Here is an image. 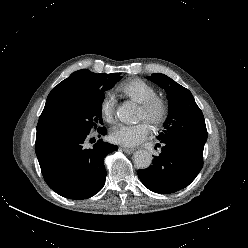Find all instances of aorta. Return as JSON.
<instances>
[{"instance_id": "aorta-1", "label": "aorta", "mask_w": 248, "mask_h": 248, "mask_svg": "<svg viewBox=\"0 0 248 248\" xmlns=\"http://www.w3.org/2000/svg\"><path fill=\"white\" fill-rule=\"evenodd\" d=\"M117 118L124 123H134L136 117V106L130 102L121 104L116 112ZM152 154L147 150H138L134 153V164L139 169H146L152 163Z\"/></svg>"}]
</instances>
